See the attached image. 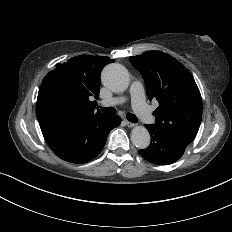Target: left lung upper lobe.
<instances>
[{
	"label": "left lung upper lobe",
	"mask_w": 232,
	"mask_h": 232,
	"mask_svg": "<svg viewBox=\"0 0 232 232\" xmlns=\"http://www.w3.org/2000/svg\"><path fill=\"white\" fill-rule=\"evenodd\" d=\"M129 61L142 74L149 99L159 102L155 124L148 126L189 145L202 118V99L191 73L160 51L131 56Z\"/></svg>",
	"instance_id": "1"
}]
</instances>
